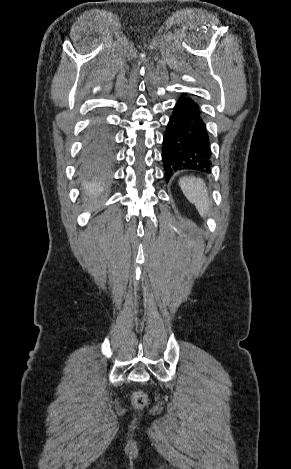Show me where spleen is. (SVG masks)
<instances>
[{"label":"spleen","instance_id":"obj_1","mask_svg":"<svg viewBox=\"0 0 291 469\" xmlns=\"http://www.w3.org/2000/svg\"><path fill=\"white\" fill-rule=\"evenodd\" d=\"M179 185L189 202L196 206L199 214L203 218L207 217L210 213V200L205 182L201 178L189 176L180 178Z\"/></svg>","mask_w":291,"mask_h":469}]
</instances>
